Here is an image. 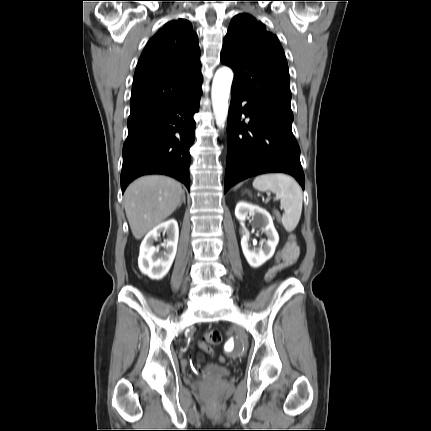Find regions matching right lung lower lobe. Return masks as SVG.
Returning a JSON list of instances; mask_svg holds the SVG:
<instances>
[{"label":"right lung lower lobe","instance_id":"right-lung-lower-lobe-1","mask_svg":"<svg viewBox=\"0 0 431 431\" xmlns=\"http://www.w3.org/2000/svg\"><path fill=\"white\" fill-rule=\"evenodd\" d=\"M201 82L171 102L130 114L122 152V193L146 174L171 176L189 190V149L195 139L193 115L199 107Z\"/></svg>","mask_w":431,"mask_h":431}]
</instances>
